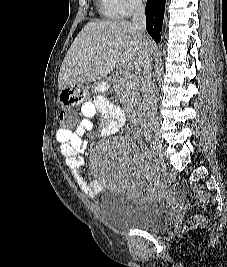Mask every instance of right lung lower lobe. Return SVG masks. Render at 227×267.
<instances>
[{"label":"right lung lower lobe","mask_w":227,"mask_h":267,"mask_svg":"<svg viewBox=\"0 0 227 267\" xmlns=\"http://www.w3.org/2000/svg\"><path fill=\"white\" fill-rule=\"evenodd\" d=\"M166 0H147L146 14V29L155 42H160V31L164 17Z\"/></svg>","instance_id":"98d812e1"}]
</instances>
